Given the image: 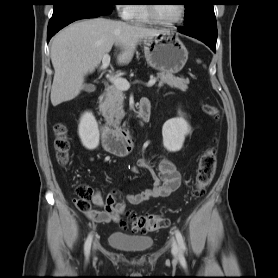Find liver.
<instances>
[{"instance_id": "liver-1", "label": "liver", "mask_w": 278, "mask_h": 278, "mask_svg": "<svg viewBox=\"0 0 278 278\" xmlns=\"http://www.w3.org/2000/svg\"><path fill=\"white\" fill-rule=\"evenodd\" d=\"M162 32L105 18L87 19L69 25L51 42L50 56L55 71L50 95L52 105L76 98L84 88L86 74L95 70L113 45L122 49L118 62L127 64L139 41Z\"/></svg>"}]
</instances>
